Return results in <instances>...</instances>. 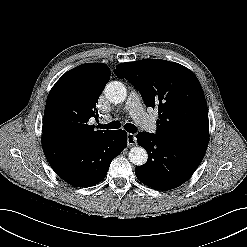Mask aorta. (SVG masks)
<instances>
[{
	"label": "aorta",
	"mask_w": 247,
	"mask_h": 247,
	"mask_svg": "<svg viewBox=\"0 0 247 247\" xmlns=\"http://www.w3.org/2000/svg\"><path fill=\"white\" fill-rule=\"evenodd\" d=\"M105 96L112 103H121L127 97V89L122 82L111 81L104 90ZM129 160L131 163L137 166L144 165L148 160V154L146 150L140 146L131 148L129 152Z\"/></svg>",
	"instance_id": "aorta-1"
}]
</instances>
